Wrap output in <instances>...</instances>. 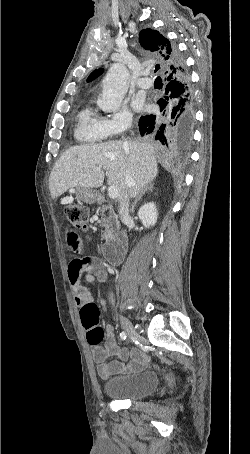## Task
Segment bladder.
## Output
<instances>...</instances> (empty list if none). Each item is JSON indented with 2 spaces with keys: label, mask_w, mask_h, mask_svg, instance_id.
Segmentation results:
<instances>
[{
  "label": "bladder",
  "mask_w": 250,
  "mask_h": 454,
  "mask_svg": "<svg viewBox=\"0 0 250 454\" xmlns=\"http://www.w3.org/2000/svg\"><path fill=\"white\" fill-rule=\"evenodd\" d=\"M160 384V376L155 370H145L108 379L103 384L107 397L118 400H140L154 393Z\"/></svg>",
  "instance_id": "bladder-1"
}]
</instances>
